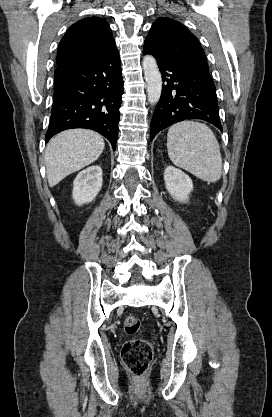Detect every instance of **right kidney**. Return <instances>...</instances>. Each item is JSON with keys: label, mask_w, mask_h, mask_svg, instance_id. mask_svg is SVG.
Wrapping results in <instances>:
<instances>
[{"label": "right kidney", "mask_w": 272, "mask_h": 417, "mask_svg": "<svg viewBox=\"0 0 272 417\" xmlns=\"http://www.w3.org/2000/svg\"><path fill=\"white\" fill-rule=\"evenodd\" d=\"M102 187V169L93 165L81 171L73 182V199L77 205L90 203Z\"/></svg>", "instance_id": "obj_1"}]
</instances>
